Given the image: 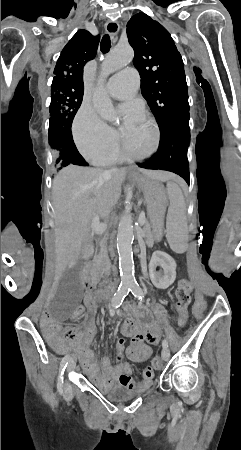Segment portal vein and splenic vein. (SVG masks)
I'll list each match as a JSON object with an SVG mask.
<instances>
[{
  "instance_id": "portal-vein-and-splenic-vein-1",
  "label": "portal vein and splenic vein",
  "mask_w": 241,
  "mask_h": 450,
  "mask_svg": "<svg viewBox=\"0 0 241 450\" xmlns=\"http://www.w3.org/2000/svg\"><path fill=\"white\" fill-rule=\"evenodd\" d=\"M140 215L142 217H140L138 225L139 226L146 225L145 218L147 217V214L143 210L140 212ZM107 228H108L107 224H100V222H92L91 224V230L92 232H95V234H103V232H106Z\"/></svg>"
}]
</instances>
